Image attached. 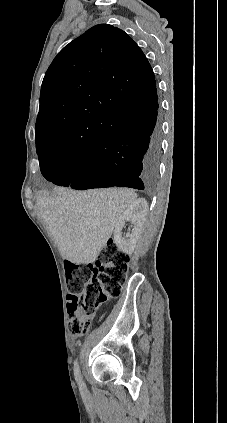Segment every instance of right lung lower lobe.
Segmentation results:
<instances>
[{"label":"right lung lower lobe","instance_id":"obj_1","mask_svg":"<svg viewBox=\"0 0 227 423\" xmlns=\"http://www.w3.org/2000/svg\"><path fill=\"white\" fill-rule=\"evenodd\" d=\"M157 90L146 100L127 101L107 115L128 122L125 130L108 133L72 164L40 165L52 183L77 190L130 187L151 190L157 180L161 152Z\"/></svg>","mask_w":227,"mask_h":423}]
</instances>
